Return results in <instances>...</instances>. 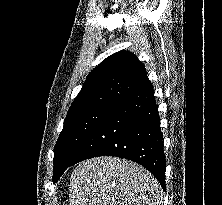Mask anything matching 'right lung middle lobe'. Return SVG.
I'll use <instances>...</instances> for the list:
<instances>
[{
	"instance_id": "1",
	"label": "right lung middle lobe",
	"mask_w": 222,
	"mask_h": 205,
	"mask_svg": "<svg viewBox=\"0 0 222 205\" xmlns=\"http://www.w3.org/2000/svg\"><path fill=\"white\" fill-rule=\"evenodd\" d=\"M111 108L92 109L65 119L63 130L54 149V183L69 167L85 139Z\"/></svg>"
}]
</instances>
